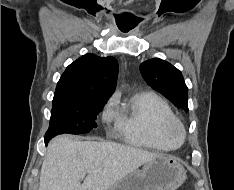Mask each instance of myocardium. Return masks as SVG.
<instances>
[{
    "mask_svg": "<svg viewBox=\"0 0 234 190\" xmlns=\"http://www.w3.org/2000/svg\"><path fill=\"white\" fill-rule=\"evenodd\" d=\"M167 134L169 138L179 144L183 143L186 136L185 128L179 121L171 124L168 127Z\"/></svg>",
    "mask_w": 234,
    "mask_h": 190,
    "instance_id": "obj_1",
    "label": "myocardium"
}]
</instances>
